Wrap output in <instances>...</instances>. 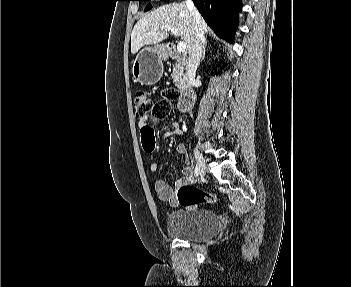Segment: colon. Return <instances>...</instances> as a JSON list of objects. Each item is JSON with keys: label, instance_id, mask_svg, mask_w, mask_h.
<instances>
[{"label": "colon", "instance_id": "5ec220e1", "mask_svg": "<svg viewBox=\"0 0 351 287\" xmlns=\"http://www.w3.org/2000/svg\"><path fill=\"white\" fill-rule=\"evenodd\" d=\"M179 98L175 89H167L162 92V99L154 102L149 93L139 91L134 97L136 114L139 117L151 114L154 122H158L168 116L171 105ZM178 203L184 207H192L200 204H212L218 201L216 195L199 189L193 185H183L177 191Z\"/></svg>", "mask_w": 351, "mask_h": 287}]
</instances>
